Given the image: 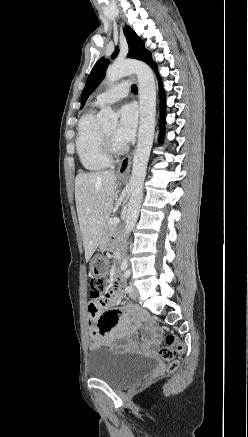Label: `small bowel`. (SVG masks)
<instances>
[{"label": "small bowel", "mask_w": 248, "mask_h": 437, "mask_svg": "<svg viewBox=\"0 0 248 437\" xmlns=\"http://www.w3.org/2000/svg\"><path fill=\"white\" fill-rule=\"evenodd\" d=\"M121 280L115 278L114 290L100 300L88 303L89 337L91 350L100 347H110L117 341H123L118 347L126 352L147 351L158 341V334L153 328H148L141 338L138 337L136 326L131 324L128 308L114 309L111 306L118 302Z\"/></svg>", "instance_id": "1"}]
</instances>
